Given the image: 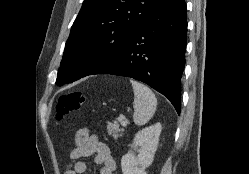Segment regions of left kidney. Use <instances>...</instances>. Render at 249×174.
I'll use <instances>...</instances> for the list:
<instances>
[{"mask_svg": "<svg viewBox=\"0 0 249 174\" xmlns=\"http://www.w3.org/2000/svg\"><path fill=\"white\" fill-rule=\"evenodd\" d=\"M162 131V125L156 123L146 127L135 134L132 147L137 149L138 155L128 152L121 159L123 174H147L148 168L153 159L159 143V136Z\"/></svg>", "mask_w": 249, "mask_h": 174, "instance_id": "left-kidney-1", "label": "left kidney"}]
</instances>
